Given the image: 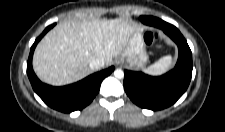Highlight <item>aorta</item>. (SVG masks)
<instances>
[{
    "mask_svg": "<svg viewBox=\"0 0 225 132\" xmlns=\"http://www.w3.org/2000/svg\"><path fill=\"white\" fill-rule=\"evenodd\" d=\"M114 76L118 79H122L124 77V72L121 69H116L114 71Z\"/></svg>",
    "mask_w": 225,
    "mask_h": 132,
    "instance_id": "1",
    "label": "aorta"
}]
</instances>
